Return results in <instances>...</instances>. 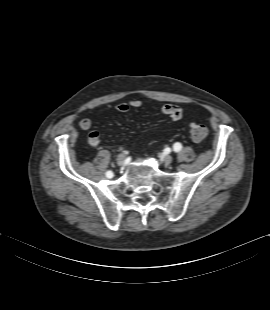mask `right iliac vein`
<instances>
[{
  "instance_id": "right-iliac-vein-1",
  "label": "right iliac vein",
  "mask_w": 270,
  "mask_h": 310,
  "mask_svg": "<svg viewBox=\"0 0 270 310\" xmlns=\"http://www.w3.org/2000/svg\"><path fill=\"white\" fill-rule=\"evenodd\" d=\"M125 158H126L125 154H123V153L119 154L118 157H117V163L119 165H122L124 163V161H125Z\"/></svg>"
}]
</instances>
